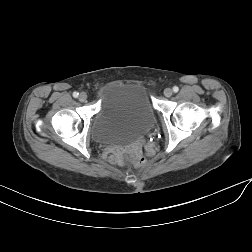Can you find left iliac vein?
I'll use <instances>...</instances> for the list:
<instances>
[{
	"instance_id": "obj_1",
	"label": "left iliac vein",
	"mask_w": 252,
	"mask_h": 252,
	"mask_svg": "<svg viewBox=\"0 0 252 252\" xmlns=\"http://www.w3.org/2000/svg\"><path fill=\"white\" fill-rule=\"evenodd\" d=\"M163 93L166 97H170L173 94V91L171 88H166Z\"/></svg>"
}]
</instances>
